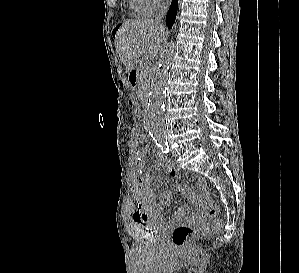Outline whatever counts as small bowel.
<instances>
[{
	"mask_svg": "<svg viewBox=\"0 0 299 273\" xmlns=\"http://www.w3.org/2000/svg\"><path fill=\"white\" fill-rule=\"evenodd\" d=\"M149 149L141 148L137 155V166L141 170L144 165V157ZM158 164L163 166L172 178H179L180 172L175 164L163 156H158ZM178 190L185 195L194 204H199L200 200L189 188L185 185H178ZM172 196L168 191H163L159 196V203L155 199L154 192L151 187V177L142 175L135 180L134 204L136 210L133 214L135 222L144 219L147 216L153 215L159 219L164 217L165 209L170 206ZM191 212L188 206H181L173 215V221L191 218Z\"/></svg>",
	"mask_w": 299,
	"mask_h": 273,
	"instance_id": "small-bowel-1",
	"label": "small bowel"
}]
</instances>
